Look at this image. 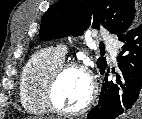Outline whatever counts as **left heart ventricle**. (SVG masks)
Listing matches in <instances>:
<instances>
[{
  "label": "left heart ventricle",
  "instance_id": "obj_1",
  "mask_svg": "<svg viewBox=\"0 0 142 119\" xmlns=\"http://www.w3.org/2000/svg\"><path fill=\"white\" fill-rule=\"evenodd\" d=\"M88 96V79L78 70L66 72L61 78L55 92V100L58 106L68 111L81 107Z\"/></svg>",
  "mask_w": 142,
  "mask_h": 119
}]
</instances>
